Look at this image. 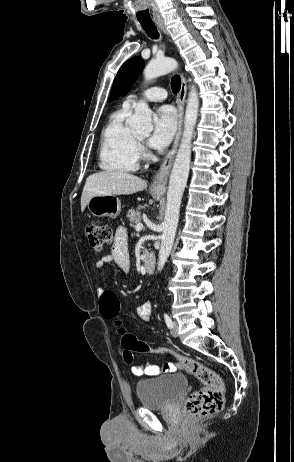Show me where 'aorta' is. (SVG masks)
<instances>
[{"mask_svg":"<svg viewBox=\"0 0 294 462\" xmlns=\"http://www.w3.org/2000/svg\"><path fill=\"white\" fill-rule=\"evenodd\" d=\"M178 67L173 58H157L149 62L144 70L146 81L165 75ZM199 109L198 94L194 86L191 87L184 120V130L181 143L175 157L170 174L166 210L161 235L159 250L158 271H161L171 252L179 222L182 196L187 184L190 162L191 146L194 127L196 125ZM130 127L140 133H150L153 130L152 111L144 101H140L135 107V114L129 122Z\"/></svg>","mask_w":294,"mask_h":462,"instance_id":"obj_1","label":"aorta"}]
</instances>
